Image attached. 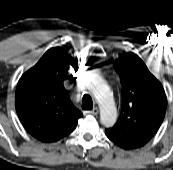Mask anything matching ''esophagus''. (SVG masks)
I'll return each instance as SVG.
<instances>
[{"label":"esophagus","mask_w":173,"mask_h":170,"mask_svg":"<svg viewBox=\"0 0 173 170\" xmlns=\"http://www.w3.org/2000/svg\"><path fill=\"white\" fill-rule=\"evenodd\" d=\"M98 112H99V110L97 107L93 108L92 110L84 111L85 114H90V115H97Z\"/></svg>","instance_id":"34e87169"}]
</instances>
